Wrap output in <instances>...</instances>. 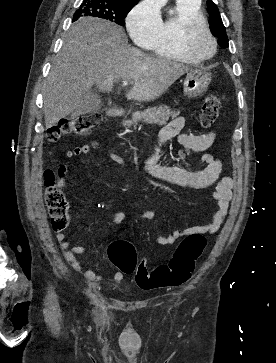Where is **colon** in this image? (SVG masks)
<instances>
[{"label": "colon", "instance_id": "colon-1", "mask_svg": "<svg viewBox=\"0 0 276 363\" xmlns=\"http://www.w3.org/2000/svg\"><path fill=\"white\" fill-rule=\"evenodd\" d=\"M222 105V98L210 95L205 98L200 109V124L209 128L215 124ZM100 122L98 113L82 114L71 120L61 121L47 130L49 141H57L64 134L86 137L92 134ZM57 175L53 170L44 173L46 188L45 200L51 217V226L55 232H62L70 220L68 202L56 183ZM206 246V239L201 234L185 237L176 247L168 264L149 269L145 260L138 261L136 249L131 242L115 241L108 246L107 254L111 263L122 273H135L136 284L146 290L173 288L187 282L195 268V262Z\"/></svg>", "mask_w": 276, "mask_h": 363}]
</instances>
